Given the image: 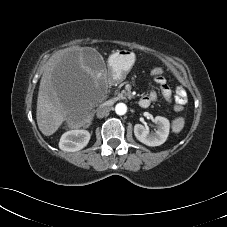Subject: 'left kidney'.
Listing matches in <instances>:
<instances>
[{"label": "left kidney", "mask_w": 227, "mask_h": 227, "mask_svg": "<svg viewBox=\"0 0 227 227\" xmlns=\"http://www.w3.org/2000/svg\"><path fill=\"white\" fill-rule=\"evenodd\" d=\"M154 122L157 124L154 133H150L149 128L141 124L134 126L135 137L141 143L153 147L162 145L166 141L170 131V122L167 118L156 116Z\"/></svg>", "instance_id": "1"}]
</instances>
